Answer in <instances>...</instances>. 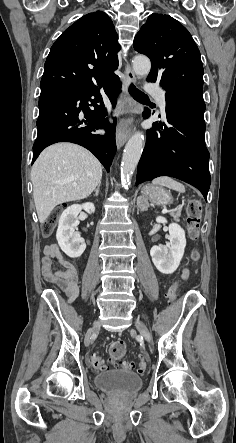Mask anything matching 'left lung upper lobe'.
<instances>
[{"label":"left lung upper lobe","mask_w":236,"mask_h":443,"mask_svg":"<svg viewBox=\"0 0 236 443\" xmlns=\"http://www.w3.org/2000/svg\"><path fill=\"white\" fill-rule=\"evenodd\" d=\"M134 49L151 60L148 82L159 81L165 91L203 89L199 49L188 30L165 14H151L134 39Z\"/></svg>","instance_id":"left-lung-upper-lobe-1"}]
</instances>
